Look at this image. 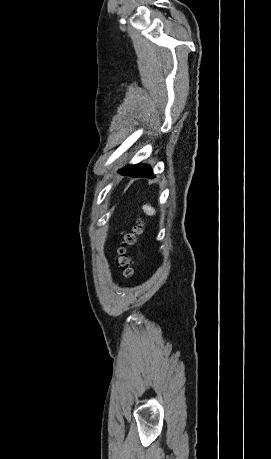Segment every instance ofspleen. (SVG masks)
Returning a JSON list of instances; mask_svg holds the SVG:
<instances>
[{
  "mask_svg": "<svg viewBox=\"0 0 271 459\" xmlns=\"http://www.w3.org/2000/svg\"><path fill=\"white\" fill-rule=\"evenodd\" d=\"M142 210L143 212H145V214H147V216H155L156 214L154 208H151L149 204H145V206H142Z\"/></svg>",
  "mask_w": 271,
  "mask_h": 459,
  "instance_id": "obj_1",
  "label": "spleen"
}]
</instances>
